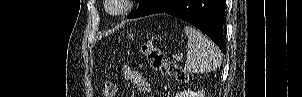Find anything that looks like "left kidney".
I'll return each instance as SVG.
<instances>
[{
	"label": "left kidney",
	"instance_id": "5707ae66",
	"mask_svg": "<svg viewBox=\"0 0 302 97\" xmlns=\"http://www.w3.org/2000/svg\"><path fill=\"white\" fill-rule=\"evenodd\" d=\"M175 97H205L203 91H192L190 89L177 93Z\"/></svg>",
	"mask_w": 302,
	"mask_h": 97
}]
</instances>
